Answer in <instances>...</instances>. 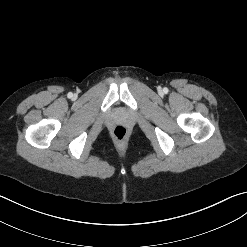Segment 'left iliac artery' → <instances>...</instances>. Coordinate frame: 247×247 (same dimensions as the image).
<instances>
[{
    "label": "left iliac artery",
    "instance_id": "1",
    "mask_svg": "<svg viewBox=\"0 0 247 247\" xmlns=\"http://www.w3.org/2000/svg\"><path fill=\"white\" fill-rule=\"evenodd\" d=\"M164 91H165V92H168V89H167V88H164Z\"/></svg>",
    "mask_w": 247,
    "mask_h": 247
}]
</instances>
